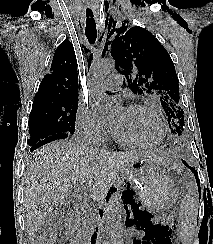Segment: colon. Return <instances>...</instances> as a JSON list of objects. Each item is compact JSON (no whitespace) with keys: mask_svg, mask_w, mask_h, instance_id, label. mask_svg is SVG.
Returning a JSON list of instances; mask_svg holds the SVG:
<instances>
[{"mask_svg":"<svg viewBox=\"0 0 213 244\" xmlns=\"http://www.w3.org/2000/svg\"><path fill=\"white\" fill-rule=\"evenodd\" d=\"M177 111V110H175ZM38 244H54V237L51 233H45L43 234L40 239ZM136 244H145L144 242H136Z\"/></svg>","mask_w":213,"mask_h":244,"instance_id":"obj_1","label":"colon"}]
</instances>
